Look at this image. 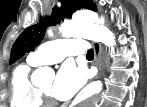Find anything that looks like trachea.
Listing matches in <instances>:
<instances>
[{
  "instance_id": "1",
  "label": "trachea",
  "mask_w": 147,
  "mask_h": 107,
  "mask_svg": "<svg viewBox=\"0 0 147 107\" xmlns=\"http://www.w3.org/2000/svg\"><path fill=\"white\" fill-rule=\"evenodd\" d=\"M86 58H90V59H93L94 58V53L93 51H89L86 55Z\"/></svg>"
}]
</instances>
